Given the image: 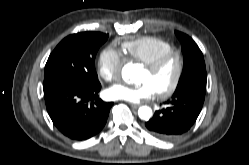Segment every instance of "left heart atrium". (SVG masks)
Here are the masks:
<instances>
[{"label":"left heart atrium","mask_w":249,"mask_h":165,"mask_svg":"<svg viewBox=\"0 0 249 165\" xmlns=\"http://www.w3.org/2000/svg\"><path fill=\"white\" fill-rule=\"evenodd\" d=\"M154 92V88L146 81H142L135 86L116 83L110 86L106 91L107 96L111 99L124 100L133 103L150 98Z\"/></svg>","instance_id":"39dd6f15"}]
</instances>
